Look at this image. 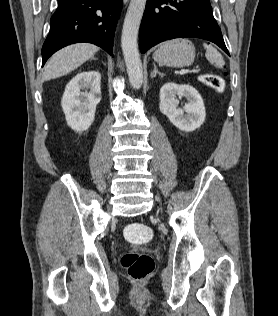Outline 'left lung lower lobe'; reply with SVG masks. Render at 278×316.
<instances>
[{"label": "left lung lower lobe", "mask_w": 278, "mask_h": 316, "mask_svg": "<svg viewBox=\"0 0 278 316\" xmlns=\"http://www.w3.org/2000/svg\"><path fill=\"white\" fill-rule=\"evenodd\" d=\"M185 37L211 41L230 55L210 0H147L139 31L142 53L162 41Z\"/></svg>", "instance_id": "left-lung-lower-lobe-1"}]
</instances>
